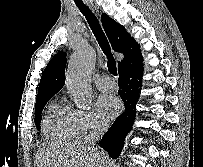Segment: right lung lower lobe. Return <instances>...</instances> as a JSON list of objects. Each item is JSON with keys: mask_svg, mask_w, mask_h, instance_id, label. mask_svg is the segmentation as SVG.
<instances>
[{"mask_svg": "<svg viewBox=\"0 0 203 167\" xmlns=\"http://www.w3.org/2000/svg\"><path fill=\"white\" fill-rule=\"evenodd\" d=\"M141 62L142 60L133 66L118 71L120 88L118 93L124 102L125 110L116 118L100 141V146L114 159L120 155L125 137L131 131L134 123L143 74Z\"/></svg>", "mask_w": 203, "mask_h": 167, "instance_id": "right-lung-lower-lobe-1", "label": "right lung lower lobe"}]
</instances>
